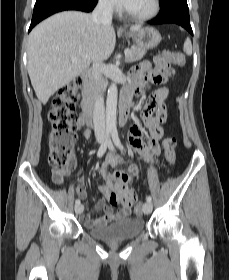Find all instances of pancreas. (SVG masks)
Masks as SVG:
<instances>
[{
	"instance_id": "obj_1",
	"label": "pancreas",
	"mask_w": 229,
	"mask_h": 280,
	"mask_svg": "<svg viewBox=\"0 0 229 280\" xmlns=\"http://www.w3.org/2000/svg\"><path fill=\"white\" fill-rule=\"evenodd\" d=\"M129 56L126 57L127 62H135L143 58V56L146 54V49H142L138 46H132L130 49ZM107 85V82L103 83V89H105Z\"/></svg>"
}]
</instances>
